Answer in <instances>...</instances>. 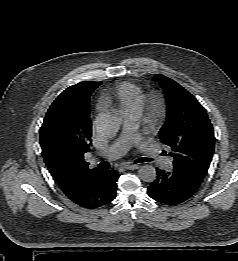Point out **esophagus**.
<instances>
[{
  "label": "esophagus",
  "mask_w": 238,
  "mask_h": 261,
  "mask_svg": "<svg viewBox=\"0 0 238 261\" xmlns=\"http://www.w3.org/2000/svg\"><path fill=\"white\" fill-rule=\"evenodd\" d=\"M123 168H124V169H127V170H135V169H138L139 166L136 165V164L126 163V164L123 165Z\"/></svg>",
  "instance_id": "obj_1"
}]
</instances>
